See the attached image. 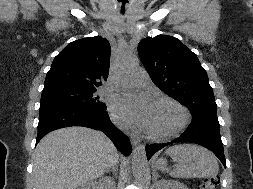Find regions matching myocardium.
I'll use <instances>...</instances> for the list:
<instances>
[{
	"instance_id": "1",
	"label": "myocardium",
	"mask_w": 253,
	"mask_h": 189,
	"mask_svg": "<svg viewBox=\"0 0 253 189\" xmlns=\"http://www.w3.org/2000/svg\"><path fill=\"white\" fill-rule=\"evenodd\" d=\"M159 103H167L173 106L175 109L178 110L180 114V120L178 124L170 131H167L164 133H157V132H153L146 129V136L149 139L161 141V140L170 139L178 135L180 132H182L188 126L190 122V113L184 105H182L180 102H178L177 100L169 96L156 97L153 101V104H159Z\"/></svg>"
}]
</instances>
